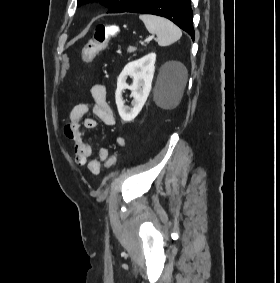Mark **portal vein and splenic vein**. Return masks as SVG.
Returning a JSON list of instances; mask_svg holds the SVG:
<instances>
[{"label":"portal vein and splenic vein","mask_w":280,"mask_h":283,"mask_svg":"<svg viewBox=\"0 0 280 283\" xmlns=\"http://www.w3.org/2000/svg\"><path fill=\"white\" fill-rule=\"evenodd\" d=\"M152 39H153V36H149V37L145 40V42L150 41V40H152Z\"/></svg>","instance_id":"portal-vein-and-splenic-vein-1"}]
</instances>
